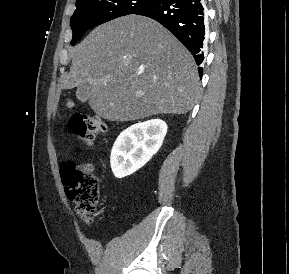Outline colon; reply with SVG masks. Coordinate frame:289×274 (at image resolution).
Instances as JSON below:
<instances>
[{
	"instance_id": "obj_1",
	"label": "colon",
	"mask_w": 289,
	"mask_h": 274,
	"mask_svg": "<svg viewBox=\"0 0 289 274\" xmlns=\"http://www.w3.org/2000/svg\"><path fill=\"white\" fill-rule=\"evenodd\" d=\"M70 128L84 143L90 145L106 131V124L98 116L76 115L70 121ZM61 178L66 194L75 204L77 213L89 222L100 199L99 182L93 166L68 161L61 167Z\"/></svg>"
}]
</instances>
